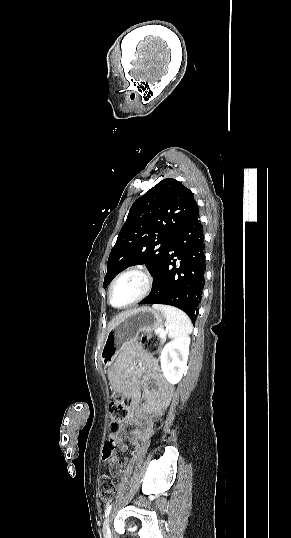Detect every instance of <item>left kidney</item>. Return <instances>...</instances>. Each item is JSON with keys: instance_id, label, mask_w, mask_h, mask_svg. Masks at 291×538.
<instances>
[{"instance_id": "1", "label": "left kidney", "mask_w": 291, "mask_h": 538, "mask_svg": "<svg viewBox=\"0 0 291 538\" xmlns=\"http://www.w3.org/2000/svg\"><path fill=\"white\" fill-rule=\"evenodd\" d=\"M190 337L182 336L168 342L161 351V369L166 380L177 384L186 369L189 354Z\"/></svg>"}]
</instances>
